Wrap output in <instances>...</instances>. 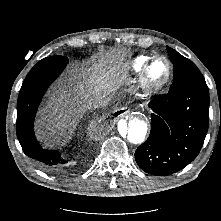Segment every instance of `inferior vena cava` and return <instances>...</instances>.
Returning a JSON list of instances; mask_svg holds the SVG:
<instances>
[{
	"mask_svg": "<svg viewBox=\"0 0 221 221\" xmlns=\"http://www.w3.org/2000/svg\"><path fill=\"white\" fill-rule=\"evenodd\" d=\"M111 101L110 95H100L89 103L90 108L97 109L106 107Z\"/></svg>",
	"mask_w": 221,
	"mask_h": 221,
	"instance_id": "1",
	"label": "inferior vena cava"
}]
</instances>
